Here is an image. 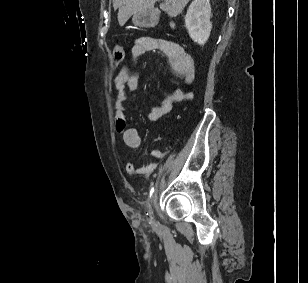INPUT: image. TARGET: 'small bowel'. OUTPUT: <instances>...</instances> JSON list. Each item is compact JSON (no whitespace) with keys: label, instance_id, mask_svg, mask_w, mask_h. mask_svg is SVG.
<instances>
[{"label":"small bowel","instance_id":"c3829d8e","mask_svg":"<svg viewBox=\"0 0 308 283\" xmlns=\"http://www.w3.org/2000/svg\"><path fill=\"white\" fill-rule=\"evenodd\" d=\"M152 51H158L166 55L173 72L180 77L186 84H191L195 78L194 63L191 56L178 44L152 37H140L131 49L134 58H139ZM116 96L114 101L115 127L122 134L124 144L129 150H135L141 145V136L134 127H128V118L125 113V101L127 99L125 89L137 90L140 86V77L137 73H131L127 67L123 66L114 78ZM190 93L181 89H176L167 94L162 102L154 105L149 113L151 121H158L163 115L168 113L177 102L186 100ZM169 149H154L152 155L156 158H163ZM156 168L152 163L147 166L137 167L132 161L126 163L125 169L130 174H148Z\"/></svg>","mask_w":308,"mask_h":283}]
</instances>
